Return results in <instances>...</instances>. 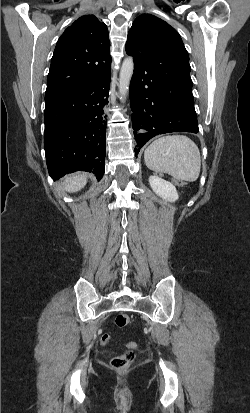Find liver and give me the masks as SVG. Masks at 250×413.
Segmentation results:
<instances>
[{
	"label": "liver",
	"instance_id": "obj_1",
	"mask_svg": "<svg viewBox=\"0 0 250 413\" xmlns=\"http://www.w3.org/2000/svg\"><path fill=\"white\" fill-rule=\"evenodd\" d=\"M86 183V176L79 173L67 176L64 180V186L68 192H78L86 185Z\"/></svg>",
	"mask_w": 250,
	"mask_h": 413
}]
</instances>
